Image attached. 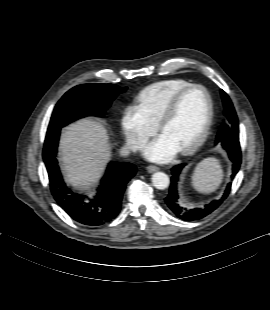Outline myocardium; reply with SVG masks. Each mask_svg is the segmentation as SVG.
I'll list each match as a JSON object with an SVG mask.
<instances>
[{
  "label": "myocardium",
  "mask_w": 270,
  "mask_h": 310,
  "mask_svg": "<svg viewBox=\"0 0 270 310\" xmlns=\"http://www.w3.org/2000/svg\"><path fill=\"white\" fill-rule=\"evenodd\" d=\"M194 90H201L204 92V94L207 97V102H208V110H207V116H206V121L204 124V127L200 133V135L194 140L190 145H188L186 148L182 149L179 151L180 154L182 155H189L195 152L198 148L201 147V145L206 141L209 132L211 130V126L213 123V117H214V103L212 96L210 92L207 90L206 87L199 85V84H191L184 89L180 90L177 92L173 98L170 100L169 104L167 107L164 109L162 112L158 123H157V130L159 132L162 131L163 127L171 120V118L174 116L176 111L178 110L179 104L182 100V98L188 94L191 91Z\"/></svg>",
  "instance_id": "1"
}]
</instances>
